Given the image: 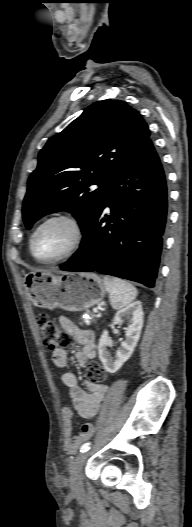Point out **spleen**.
I'll return each instance as SVG.
<instances>
[{"instance_id":"obj_1","label":"spleen","mask_w":192,"mask_h":527,"mask_svg":"<svg viewBox=\"0 0 192 527\" xmlns=\"http://www.w3.org/2000/svg\"><path fill=\"white\" fill-rule=\"evenodd\" d=\"M103 283L105 290L110 294L113 309H122L137 297V289L128 281L106 275L103 278Z\"/></svg>"}]
</instances>
